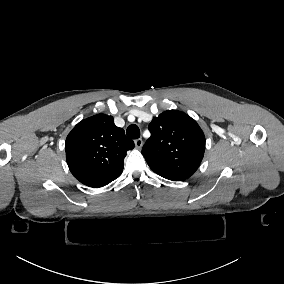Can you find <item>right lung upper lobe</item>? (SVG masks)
<instances>
[{
	"instance_id": "right-lung-upper-lobe-1",
	"label": "right lung upper lobe",
	"mask_w": 284,
	"mask_h": 284,
	"mask_svg": "<svg viewBox=\"0 0 284 284\" xmlns=\"http://www.w3.org/2000/svg\"><path fill=\"white\" fill-rule=\"evenodd\" d=\"M134 142L112 116L103 113L79 122L66 138V160L73 176L89 187H102L118 178L126 152Z\"/></svg>"
}]
</instances>
